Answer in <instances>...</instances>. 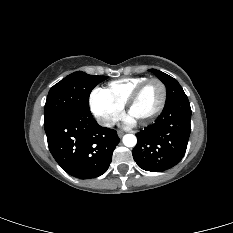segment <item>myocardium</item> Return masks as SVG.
Listing matches in <instances>:
<instances>
[{
    "mask_svg": "<svg viewBox=\"0 0 233 233\" xmlns=\"http://www.w3.org/2000/svg\"><path fill=\"white\" fill-rule=\"evenodd\" d=\"M152 82H156L160 85L161 90H162V96H161V102L158 106V108L156 109V111L150 115L148 118L141 120V121H137L138 124L142 125V126H146L151 124L152 122H154L162 113V111L164 110L165 104H166V99H167V89L165 84L163 83V81H161L158 78H149L145 81H143L141 84H139L134 90L133 92L130 94L129 98L127 99L126 103H125V110L126 113L129 115L130 110L132 108V106L134 105V103L137 101L138 97L140 96L141 92L143 91V89Z\"/></svg>",
    "mask_w": 233,
    "mask_h": 233,
    "instance_id": "1",
    "label": "myocardium"
}]
</instances>
